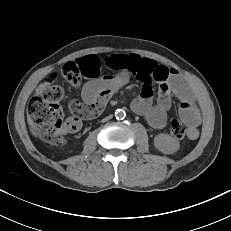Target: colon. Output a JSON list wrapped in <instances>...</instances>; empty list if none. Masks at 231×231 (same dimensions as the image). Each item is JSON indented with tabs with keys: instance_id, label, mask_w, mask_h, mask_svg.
<instances>
[{
	"instance_id": "colon-1",
	"label": "colon",
	"mask_w": 231,
	"mask_h": 231,
	"mask_svg": "<svg viewBox=\"0 0 231 231\" xmlns=\"http://www.w3.org/2000/svg\"><path fill=\"white\" fill-rule=\"evenodd\" d=\"M63 96L64 90L61 86L44 82L27 107V119L32 134L53 145H63L66 141V123L63 121L64 113L60 106ZM170 132L175 138L182 139L188 129L180 121L173 120Z\"/></svg>"
}]
</instances>
